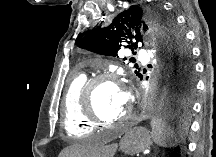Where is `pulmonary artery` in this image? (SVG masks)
Listing matches in <instances>:
<instances>
[{"label":"pulmonary artery","mask_w":216,"mask_h":157,"mask_svg":"<svg viewBox=\"0 0 216 157\" xmlns=\"http://www.w3.org/2000/svg\"><path fill=\"white\" fill-rule=\"evenodd\" d=\"M138 56H139V58H140L141 60H145V59L148 58V53H147L146 51H144V50H140V51L138 52Z\"/></svg>","instance_id":"obj_1"}]
</instances>
